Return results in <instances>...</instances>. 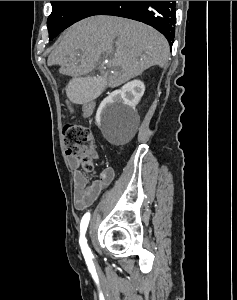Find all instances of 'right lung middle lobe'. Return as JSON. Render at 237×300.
Listing matches in <instances>:
<instances>
[{
    "mask_svg": "<svg viewBox=\"0 0 237 300\" xmlns=\"http://www.w3.org/2000/svg\"><path fill=\"white\" fill-rule=\"evenodd\" d=\"M105 2L106 1H51L52 13L47 20L50 40L75 22L92 16Z\"/></svg>",
    "mask_w": 237,
    "mask_h": 300,
    "instance_id": "obj_1",
    "label": "right lung middle lobe"
}]
</instances>
